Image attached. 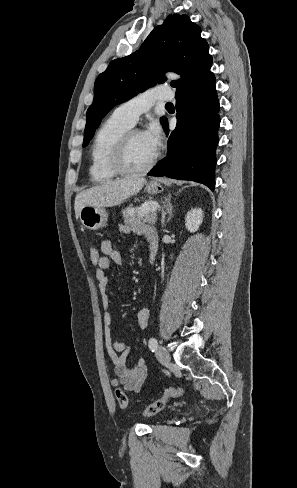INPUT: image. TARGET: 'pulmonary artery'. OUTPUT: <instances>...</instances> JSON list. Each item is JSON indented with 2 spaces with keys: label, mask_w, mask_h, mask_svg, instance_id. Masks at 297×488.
I'll return each instance as SVG.
<instances>
[{
  "label": "pulmonary artery",
  "mask_w": 297,
  "mask_h": 488,
  "mask_svg": "<svg viewBox=\"0 0 297 488\" xmlns=\"http://www.w3.org/2000/svg\"><path fill=\"white\" fill-rule=\"evenodd\" d=\"M173 93L163 87L148 89L118 106L114 113L121 119L135 125L139 116L148 111L156 101H171Z\"/></svg>",
  "instance_id": "pulmonary-artery-1"
}]
</instances>
